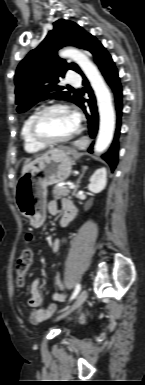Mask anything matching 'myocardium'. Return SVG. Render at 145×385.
<instances>
[{
    "label": "myocardium",
    "mask_w": 145,
    "mask_h": 385,
    "mask_svg": "<svg viewBox=\"0 0 145 385\" xmlns=\"http://www.w3.org/2000/svg\"><path fill=\"white\" fill-rule=\"evenodd\" d=\"M54 110H62V111H65V112L71 114L73 117L75 116L73 111L71 110V108L65 104H52V105L46 106V107L42 108L41 110H39L32 120V123L30 126V136H31L32 140L40 146L49 147V146H55V145L67 143V142L73 140L74 138H76L81 132V126H80V123L78 122L76 130L72 134H70L69 136H67L65 138L50 140V139L43 137L41 132H40V128H39L40 123H41L42 119L49 112L54 111Z\"/></svg>",
    "instance_id": "myocardium-1"
}]
</instances>
